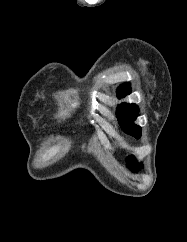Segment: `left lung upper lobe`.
Here are the masks:
<instances>
[{
    "label": "left lung upper lobe",
    "instance_id": "1",
    "mask_svg": "<svg viewBox=\"0 0 187 242\" xmlns=\"http://www.w3.org/2000/svg\"><path fill=\"white\" fill-rule=\"evenodd\" d=\"M131 93V86L129 83H124L120 85L117 89V97L119 99L124 98L125 96L129 95ZM139 108L136 104H128V103H121L117 107L116 116L118 118V121L120 125L122 126V129L136 137H141V127L134 124V121L138 117ZM127 166L130 170L136 171L139 168H142V165L138 164L133 156H129L126 159Z\"/></svg>",
    "mask_w": 187,
    "mask_h": 242
}]
</instances>
